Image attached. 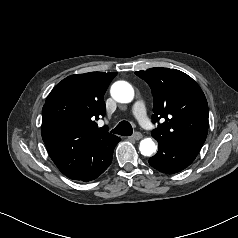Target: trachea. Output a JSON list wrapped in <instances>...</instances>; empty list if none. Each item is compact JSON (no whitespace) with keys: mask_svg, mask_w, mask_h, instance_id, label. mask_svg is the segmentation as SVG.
I'll return each mask as SVG.
<instances>
[{"mask_svg":"<svg viewBox=\"0 0 238 238\" xmlns=\"http://www.w3.org/2000/svg\"><path fill=\"white\" fill-rule=\"evenodd\" d=\"M111 132L122 136H129L132 135L133 129L128 121H121Z\"/></svg>","mask_w":238,"mask_h":238,"instance_id":"1","label":"trachea"}]
</instances>
